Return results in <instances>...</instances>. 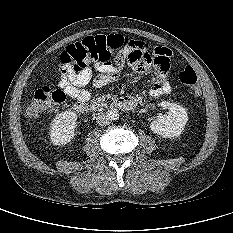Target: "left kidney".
<instances>
[{"instance_id":"1","label":"left kidney","mask_w":233,"mask_h":233,"mask_svg":"<svg viewBox=\"0 0 233 233\" xmlns=\"http://www.w3.org/2000/svg\"><path fill=\"white\" fill-rule=\"evenodd\" d=\"M163 109L168 112L164 115H159L150 124L151 130L162 137L171 138L179 136L188 121V114L184 107L163 101L160 103Z\"/></svg>"}]
</instances>
